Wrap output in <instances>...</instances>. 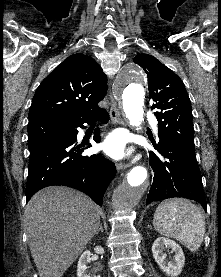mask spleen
<instances>
[{"instance_id": "3e777b00", "label": "spleen", "mask_w": 221, "mask_h": 277, "mask_svg": "<svg viewBox=\"0 0 221 277\" xmlns=\"http://www.w3.org/2000/svg\"><path fill=\"white\" fill-rule=\"evenodd\" d=\"M153 225L160 234L178 240L192 252L198 250L204 239L203 212L184 198L161 202L155 211Z\"/></svg>"}]
</instances>
